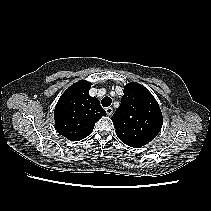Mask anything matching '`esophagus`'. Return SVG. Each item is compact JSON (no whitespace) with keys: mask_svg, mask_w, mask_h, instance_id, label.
<instances>
[{"mask_svg":"<svg viewBox=\"0 0 211 211\" xmlns=\"http://www.w3.org/2000/svg\"><path fill=\"white\" fill-rule=\"evenodd\" d=\"M105 111H106L107 115H109V116L113 114V108L112 107H107L105 109Z\"/></svg>","mask_w":211,"mask_h":211,"instance_id":"1","label":"esophagus"}]
</instances>
